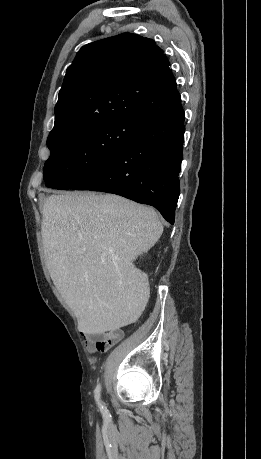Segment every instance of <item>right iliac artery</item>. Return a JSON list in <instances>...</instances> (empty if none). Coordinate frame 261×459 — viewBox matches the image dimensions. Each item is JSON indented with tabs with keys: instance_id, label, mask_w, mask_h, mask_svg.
<instances>
[{
	"instance_id": "right-iliac-artery-1",
	"label": "right iliac artery",
	"mask_w": 261,
	"mask_h": 459,
	"mask_svg": "<svg viewBox=\"0 0 261 459\" xmlns=\"http://www.w3.org/2000/svg\"><path fill=\"white\" fill-rule=\"evenodd\" d=\"M100 391H101V386L100 384L97 385L96 389H95V399L101 409V411L103 413H107V410H106V407L104 406V404L102 403V401L100 400Z\"/></svg>"
}]
</instances>
